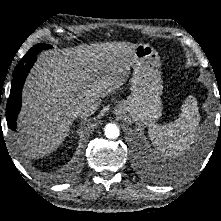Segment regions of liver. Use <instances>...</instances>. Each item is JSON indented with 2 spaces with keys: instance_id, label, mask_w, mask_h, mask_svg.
Instances as JSON below:
<instances>
[{
  "instance_id": "1",
  "label": "liver",
  "mask_w": 221,
  "mask_h": 221,
  "mask_svg": "<svg viewBox=\"0 0 221 221\" xmlns=\"http://www.w3.org/2000/svg\"><path fill=\"white\" fill-rule=\"evenodd\" d=\"M135 51L130 42H107L43 52L24 86L18 122V141L27 155L55 151L78 117L79 104L97 108L123 85Z\"/></svg>"
}]
</instances>
